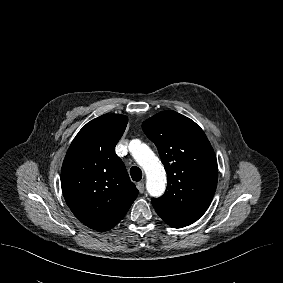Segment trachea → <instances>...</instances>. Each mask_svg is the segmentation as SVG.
I'll use <instances>...</instances> for the list:
<instances>
[{"label": "trachea", "mask_w": 283, "mask_h": 283, "mask_svg": "<svg viewBox=\"0 0 283 283\" xmlns=\"http://www.w3.org/2000/svg\"><path fill=\"white\" fill-rule=\"evenodd\" d=\"M130 175L134 181H140L142 179V171L137 166L131 167Z\"/></svg>", "instance_id": "obj_1"}]
</instances>
